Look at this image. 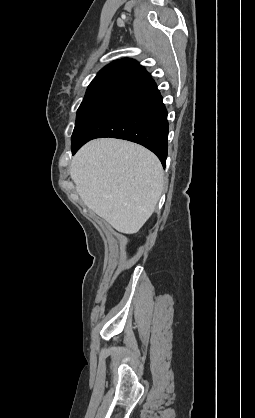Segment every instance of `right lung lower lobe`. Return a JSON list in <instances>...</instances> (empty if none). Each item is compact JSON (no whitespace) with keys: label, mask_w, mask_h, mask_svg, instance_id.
Instances as JSON below:
<instances>
[{"label":"right lung lower lobe","mask_w":255,"mask_h":418,"mask_svg":"<svg viewBox=\"0 0 255 418\" xmlns=\"http://www.w3.org/2000/svg\"><path fill=\"white\" fill-rule=\"evenodd\" d=\"M101 137L141 144L155 153L165 167L168 148L167 111L152 78L126 87L113 96L72 144V153L89 140Z\"/></svg>","instance_id":"obj_1"}]
</instances>
